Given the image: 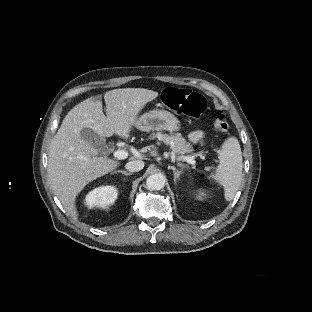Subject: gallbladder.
<instances>
[{"instance_id": "1", "label": "gallbladder", "mask_w": 312, "mask_h": 312, "mask_svg": "<svg viewBox=\"0 0 312 312\" xmlns=\"http://www.w3.org/2000/svg\"><path fill=\"white\" fill-rule=\"evenodd\" d=\"M82 138L93 145V147L101 154L107 155L109 153V147L106 145L105 140L91 129H83L81 131Z\"/></svg>"}]
</instances>
